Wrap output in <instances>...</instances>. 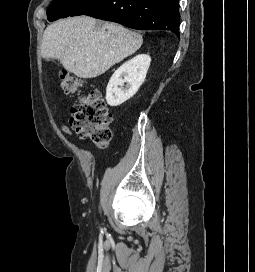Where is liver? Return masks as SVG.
Returning <instances> with one entry per match:
<instances>
[{"instance_id": "6515ba94", "label": "liver", "mask_w": 255, "mask_h": 272, "mask_svg": "<svg viewBox=\"0 0 255 272\" xmlns=\"http://www.w3.org/2000/svg\"><path fill=\"white\" fill-rule=\"evenodd\" d=\"M88 16L69 17L50 24L44 31L41 55L58 59L80 78H94L133 54L142 36L117 23H103Z\"/></svg>"}]
</instances>
